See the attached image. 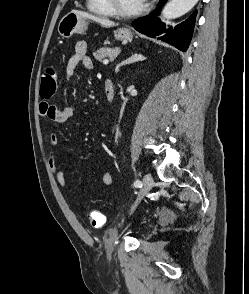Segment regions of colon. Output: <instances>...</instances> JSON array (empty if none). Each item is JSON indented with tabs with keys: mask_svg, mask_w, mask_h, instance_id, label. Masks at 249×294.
I'll return each mask as SVG.
<instances>
[{
	"mask_svg": "<svg viewBox=\"0 0 249 294\" xmlns=\"http://www.w3.org/2000/svg\"><path fill=\"white\" fill-rule=\"evenodd\" d=\"M59 87V78L54 68H48L41 77L39 95L43 100L52 98ZM88 218L92 227L100 229L106 224L105 216L98 211H89Z\"/></svg>",
	"mask_w": 249,
	"mask_h": 294,
	"instance_id": "obj_1",
	"label": "colon"
}]
</instances>
